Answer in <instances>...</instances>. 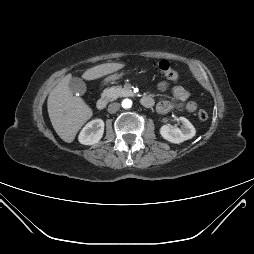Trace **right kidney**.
I'll return each instance as SVG.
<instances>
[{
	"label": "right kidney",
	"instance_id": "ca27d5eb",
	"mask_svg": "<svg viewBox=\"0 0 254 254\" xmlns=\"http://www.w3.org/2000/svg\"><path fill=\"white\" fill-rule=\"evenodd\" d=\"M104 133V121L94 119L88 122L81 130L78 140L84 145H93L100 141Z\"/></svg>",
	"mask_w": 254,
	"mask_h": 254
}]
</instances>
